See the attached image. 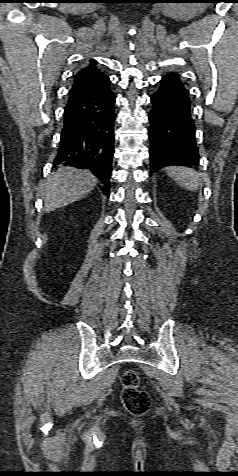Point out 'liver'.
<instances>
[{"instance_id": "6515ba94", "label": "liver", "mask_w": 238, "mask_h": 476, "mask_svg": "<svg viewBox=\"0 0 238 476\" xmlns=\"http://www.w3.org/2000/svg\"><path fill=\"white\" fill-rule=\"evenodd\" d=\"M96 184L97 178L88 170L59 168L44 184V211H54L82 199Z\"/></svg>"}]
</instances>
